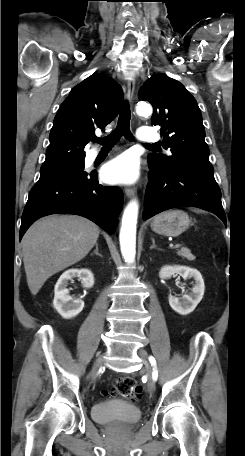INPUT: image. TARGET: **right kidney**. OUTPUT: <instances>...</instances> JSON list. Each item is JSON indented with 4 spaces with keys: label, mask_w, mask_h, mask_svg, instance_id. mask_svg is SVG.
<instances>
[{
    "label": "right kidney",
    "mask_w": 245,
    "mask_h": 456,
    "mask_svg": "<svg viewBox=\"0 0 245 456\" xmlns=\"http://www.w3.org/2000/svg\"><path fill=\"white\" fill-rule=\"evenodd\" d=\"M75 277L81 279L84 288H91L94 285L93 273L88 269H69L60 276L54 288L53 305L64 319L77 316L84 308V301L72 299L67 289L69 280Z\"/></svg>",
    "instance_id": "right-kidney-1"
}]
</instances>
